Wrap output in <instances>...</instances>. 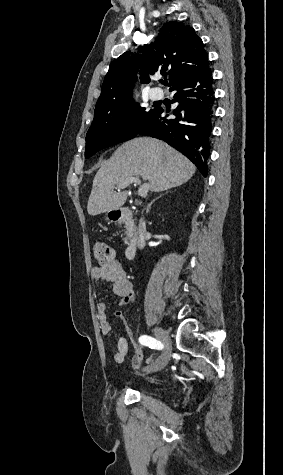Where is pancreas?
Returning a JSON list of instances; mask_svg holds the SVG:
<instances>
[{
  "label": "pancreas",
  "mask_w": 283,
  "mask_h": 475,
  "mask_svg": "<svg viewBox=\"0 0 283 475\" xmlns=\"http://www.w3.org/2000/svg\"><path fill=\"white\" fill-rule=\"evenodd\" d=\"M126 234V238H123L124 239V243H129V239L132 238L131 234H129V232H125Z\"/></svg>",
  "instance_id": "cf45deb5"
}]
</instances>
